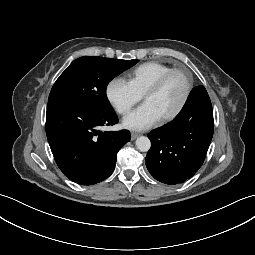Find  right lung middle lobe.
<instances>
[{
  "instance_id": "obj_1",
  "label": "right lung middle lobe",
  "mask_w": 255,
  "mask_h": 255,
  "mask_svg": "<svg viewBox=\"0 0 255 255\" xmlns=\"http://www.w3.org/2000/svg\"><path fill=\"white\" fill-rule=\"evenodd\" d=\"M139 60L84 56L73 61L52 87L48 103L71 102L98 113L111 114L106 96L108 83Z\"/></svg>"
}]
</instances>
